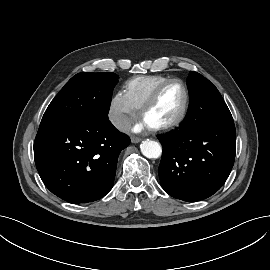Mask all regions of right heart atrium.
I'll return each instance as SVG.
<instances>
[{"label": "right heart atrium", "mask_w": 270, "mask_h": 270, "mask_svg": "<svg viewBox=\"0 0 270 270\" xmlns=\"http://www.w3.org/2000/svg\"><path fill=\"white\" fill-rule=\"evenodd\" d=\"M136 115V109L123 91L116 92L109 103L108 119L118 131H124Z\"/></svg>", "instance_id": "right-heart-atrium-1"}]
</instances>
